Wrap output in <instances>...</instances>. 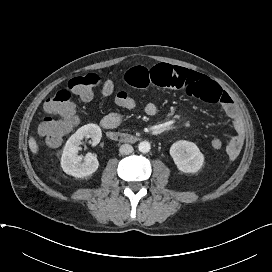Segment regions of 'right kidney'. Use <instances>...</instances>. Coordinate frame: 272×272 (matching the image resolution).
Here are the masks:
<instances>
[{"mask_svg":"<svg viewBox=\"0 0 272 272\" xmlns=\"http://www.w3.org/2000/svg\"><path fill=\"white\" fill-rule=\"evenodd\" d=\"M102 137L101 129L96 124H87L79 128L66 142L62 157L61 167L63 171L77 178L92 175L99 167V162L91 153H88L84 162L78 155L83 138H91L90 143L96 146Z\"/></svg>","mask_w":272,"mask_h":272,"instance_id":"obj_1","label":"right kidney"}]
</instances>
